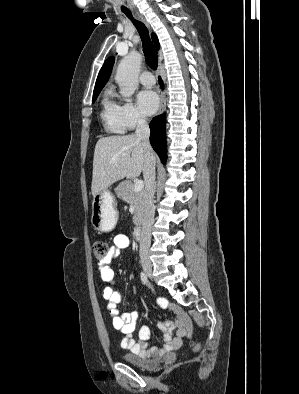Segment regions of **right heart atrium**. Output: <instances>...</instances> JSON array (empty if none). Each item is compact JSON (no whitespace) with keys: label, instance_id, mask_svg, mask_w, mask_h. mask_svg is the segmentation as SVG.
Returning a JSON list of instances; mask_svg holds the SVG:
<instances>
[{"label":"right heart atrium","instance_id":"d8ad5b80","mask_svg":"<svg viewBox=\"0 0 299 394\" xmlns=\"http://www.w3.org/2000/svg\"><path fill=\"white\" fill-rule=\"evenodd\" d=\"M117 109L124 130H132L145 123L144 116L129 98L121 99Z\"/></svg>","mask_w":299,"mask_h":394}]
</instances>
